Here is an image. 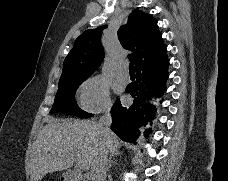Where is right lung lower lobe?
I'll return each instance as SVG.
<instances>
[{
	"label": "right lung lower lobe",
	"mask_w": 228,
	"mask_h": 181,
	"mask_svg": "<svg viewBox=\"0 0 228 181\" xmlns=\"http://www.w3.org/2000/svg\"><path fill=\"white\" fill-rule=\"evenodd\" d=\"M166 46L135 67L137 79L126 87L134 102L131 106H123L117 100L112 107L111 129L123 140L135 143L139 132L137 128L145 126L154 117L155 106L150 102L157 100L165 92L168 79Z\"/></svg>",
	"instance_id": "1"
}]
</instances>
